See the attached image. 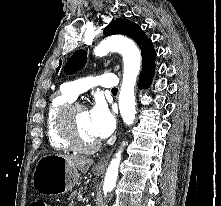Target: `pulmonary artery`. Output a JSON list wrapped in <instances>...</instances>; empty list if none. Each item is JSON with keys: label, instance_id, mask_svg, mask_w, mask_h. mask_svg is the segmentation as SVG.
<instances>
[{"label": "pulmonary artery", "instance_id": "1", "mask_svg": "<svg viewBox=\"0 0 221 206\" xmlns=\"http://www.w3.org/2000/svg\"><path fill=\"white\" fill-rule=\"evenodd\" d=\"M118 83L119 80L115 74H102L68 82L64 85V91L73 99H76L80 93L91 87L101 86L105 88H116Z\"/></svg>", "mask_w": 221, "mask_h": 206}]
</instances>
